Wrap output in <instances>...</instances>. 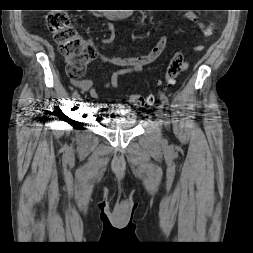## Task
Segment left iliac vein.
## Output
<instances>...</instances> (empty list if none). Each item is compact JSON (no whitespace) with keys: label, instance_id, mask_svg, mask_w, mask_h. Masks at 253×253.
<instances>
[{"label":"left iliac vein","instance_id":"obj_1","mask_svg":"<svg viewBox=\"0 0 253 253\" xmlns=\"http://www.w3.org/2000/svg\"><path fill=\"white\" fill-rule=\"evenodd\" d=\"M156 115H157L158 117H161V106H157ZM159 124L162 125V120H161V119L159 120Z\"/></svg>","mask_w":253,"mask_h":253}]
</instances>
